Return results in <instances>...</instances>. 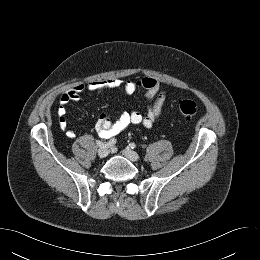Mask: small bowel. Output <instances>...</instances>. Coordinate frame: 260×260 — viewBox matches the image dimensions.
Segmentation results:
<instances>
[{
    "label": "small bowel",
    "instance_id": "small-bowel-1",
    "mask_svg": "<svg viewBox=\"0 0 260 260\" xmlns=\"http://www.w3.org/2000/svg\"><path fill=\"white\" fill-rule=\"evenodd\" d=\"M109 89H120L127 95L133 94L138 89H143L145 91L144 98L147 103V109L145 113L138 111L124 112L115 121L109 120L105 115H99L95 121V129L103 138L115 136L131 125H142L145 128L152 127L155 121L162 115L168 100V92L162 89L160 83L152 77H144L140 80L109 78L92 80L87 83H77L60 97L57 114L61 128H67L66 105L68 103L78 101L85 90L99 92ZM67 134L70 138L76 137V133L72 130H68Z\"/></svg>",
    "mask_w": 260,
    "mask_h": 260
}]
</instances>
